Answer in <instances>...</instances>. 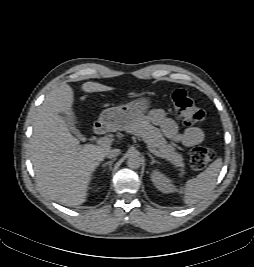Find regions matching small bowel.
Returning <instances> with one entry per match:
<instances>
[{
  "label": "small bowel",
  "instance_id": "obj_1",
  "mask_svg": "<svg viewBox=\"0 0 254 267\" xmlns=\"http://www.w3.org/2000/svg\"><path fill=\"white\" fill-rule=\"evenodd\" d=\"M149 119L153 124L160 127L168 139L185 147L198 145L204 140V132L200 128L190 127L181 132L176 122L167 117L160 109L152 110Z\"/></svg>",
  "mask_w": 254,
  "mask_h": 267
}]
</instances>
